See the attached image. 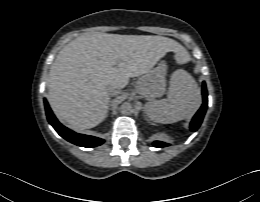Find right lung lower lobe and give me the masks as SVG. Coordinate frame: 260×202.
I'll return each mask as SVG.
<instances>
[{"label": "right lung lower lobe", "mask_w": 260, "mask_h": 202, "mask_svg": "<svg viewBox=\"0 0 260 202\" xmlns=\"http://www.w3.org/2000/svg\"><path fill=\"white\" fill-rule=\"evenodd\" d=\"M44 104H45V109H46V114H47V119L49 123L53 126V128L57 131V133L66 139L67 141L81 146V147H96L105 142V140L94 137V136H89V135H83V134H77L73 132L72 130H69L68 128L64 127L61 123L58 122V120L55 118L54 114L52 113L47 101L44 99Z\"/></svg>", "instance_id": "1"}]
</instances>
